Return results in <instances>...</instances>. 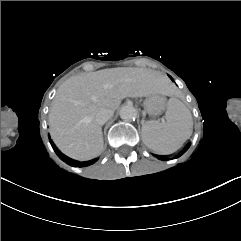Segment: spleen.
Here are the masks:
<instances>
[{
  "mask_svg": "<svg viewBox=\"0 0 241 241\" xmlns=\"http://www.w3.org/2000/svg\"><path fill=\"white\" fill-rule=\"evenodd\" d=\"M165 119L166 124L156 120L142 123V141L157 154L175 152L192 133L191 113L180 100L169 99Z\"/></svg>",
  "mask_w": 241,
  "mask_h": 241,
  "instance_id": "1",
  "label": "spleen"
}]
</instances>
